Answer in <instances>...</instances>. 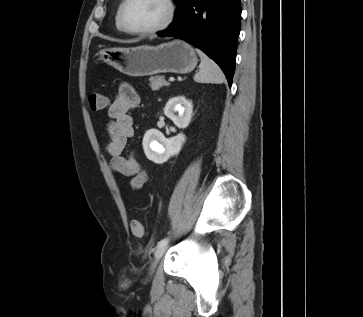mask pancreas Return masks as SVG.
<instances>
[{
    "mask_svg": "<svg viewBox=\"0 0 363 317\" xmlns=\"http://www.w3.org/2000/svg\"><path fill=\"white\" fill-rule=\"evenodd\" d=\"M149 80L150 87L153 91H157L163 86H169V83L165 80L164 76L151 77Z\"/></svg>",
    "mask_w": 363,
    "mask_h": 317,
    "instance_id": "pancreas-1",
    "label": "pancreas"
}]
</instances>
